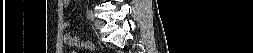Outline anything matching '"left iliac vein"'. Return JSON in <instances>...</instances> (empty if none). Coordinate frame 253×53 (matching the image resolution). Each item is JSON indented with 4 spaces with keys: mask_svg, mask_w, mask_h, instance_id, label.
I'll return each mask as SVG.
<instances>
[{
    "mask_svg": "<svg viewBox=\"0 0 253 53\" xmlns=\"http://www.w3.org/2000/svg\"><path fill=\"white\" fill-rule=\"evenodd\" d=\"M94 25H95V27H96L97 29H100V28L103 26V22H102L101 20H99V19H96V20L94 21Z\"/></svg>",
    "mask_w": 253,
    "mask_h": 53,
    "instance_id": "1",
    "label": "left iliac vein"
}]
</instances>
